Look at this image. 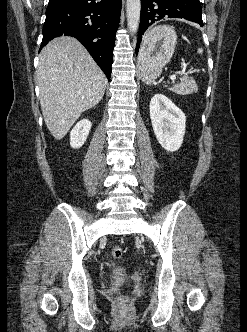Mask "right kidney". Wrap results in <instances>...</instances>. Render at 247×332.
<instances>
[{"instance_id":"right-kidney-1","label":"right kidney","mask_w":247,"mask_h":332,"mask_svg":"<svg viewBox=\"0 0 247 332\" xmlns=\"http://www.w3.org/2000/svg\"><path fill=\"white\" fill-rule=\"evenodd\" d=\"M91 122L88 119L79 121L70 132V145L72 148H80L85 143L90 129Z\"/></svg>"}]
</instances>
